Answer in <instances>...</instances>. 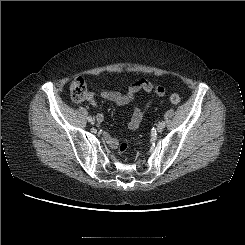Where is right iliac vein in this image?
<instances>
[{"label":"right iliac vein","mask_w":245,"mask_h":245,"mask_svg":"<svg viewBox=\"0 0 245 245\" xmlns=\"http://www.w3.org/2000/svg\"><path fill=\"white\" fill-rule=\"evenodd\" d=\"M88 121H89L91 124H94L95 119L91 117Z\"/></svg>","instance_id":"right-iliac-vein-1"}]
</instances>
